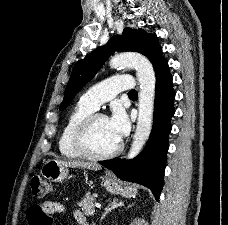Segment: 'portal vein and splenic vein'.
Instances as JSON below:
<instances>
[{
    "label": "portal vein and splenic vein",
    "instance_id": "portal-vein-and-splenic-vein-1",
    "mask_svg": "<svg viewBox=\"0 0 228 225\" xmlns=\"http://www.w3.org/2000/svg\"><path fill=\"white\" fill-rule=\"evenodd\" d=\"M96 207H98V209H100L101 205H99V203H95Z\"/></svg>",
    "mask_w": 228,
    "mask_h": 225
}]
</instances>
